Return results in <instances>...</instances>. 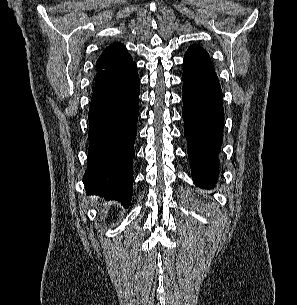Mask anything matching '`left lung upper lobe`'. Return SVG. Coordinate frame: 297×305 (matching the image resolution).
Listing matches in <instances>:
<instances>
[{
	"label": "left lung upper lobe",
	"mask_w": 297,
	"mask_h": 305,
	"mask_svg": "<svg viewBox=\"0 0 297 305\" xmlns=\"http://www.w3.org/2000/svg\"><path fill=\"white\" fill-rule=\"evenodd\" d=\"M212 66L208 52L199 45H192L185 53L184 68H198Z\"/></svg>",
	"instance_id": "obj_1"
}]
</instances>
